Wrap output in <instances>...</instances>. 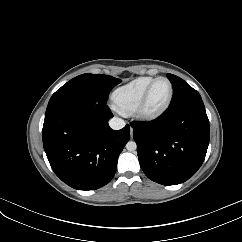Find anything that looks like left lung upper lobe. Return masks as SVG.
I'll list each match as a JSON object with an SVG mask.
<instances>
[{
	"label": "left lung upper lobe",
	"instance_id": "5c2ea615",
	"mask_svg": "<svg viewBox=\"0 0 242 242\" xmlns=\"http://www.w3.org/2000/svg\"><path fill=\"white\" fill-rule=\"evenodd\" d=\"M173 86V97L170 105H175L189 99L201 98L199 93L188 85L183 79L173 74H167Z\"/></svg>",
	"mask_w": 242,
	"mask_h": 242
}]
</instances>
